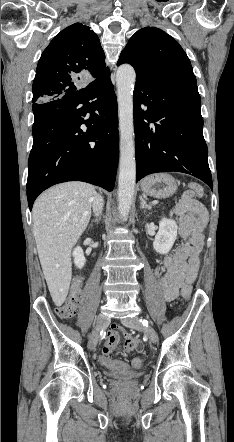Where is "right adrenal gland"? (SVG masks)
<instances>
[{
    "instance_id": "obj_1",
    "label": "right adrenal gland",
    "mask_w": 234,
    "mask_h": 442,
    "mask_svg": "<svg viewBox=\"0 0 234 442\" xmlns=\"http://www.w3.org/2000/svg\"><path fill=\"white\" fill-rule=\"evenodd\" d=\"M99 221H100V217L95 219V220H93L92 223L95 222L96 224H98Z\"/></svg>"
}]
</instances>
